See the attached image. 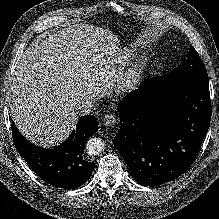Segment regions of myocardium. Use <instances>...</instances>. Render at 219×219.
Returning <instances> with one entry per match:
<instances>
[{"instance_id":"1","label":"myocardium","mask_w":219,"mask_h":219,"mask_svg":"<svg viewBox=\"0 0 219 219\" xmlns=\"http://www.w3.org/2000/svg\"><path fill=\"white\" fill-rule=\"evenodd\" d=\"M148 61L145 57H138L125 67L118 77V87L121 90L132 88L146 69Z\"/></svg>"}]
</instances>
